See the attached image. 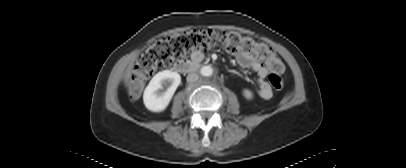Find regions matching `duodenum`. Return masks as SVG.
<instances>
[{
  "instance_id": "obj_1",
  "label": "duodenum",
  "mask_w": 406,
  "mask_h": 168,
  "mask_svg": "<svg viewBox=\"0 0 406 168\" xmlns=\"http://www.w3.org/2000/svg\"><path fill=\"white\" fill-rule=\"evenodd\" d=\"M200 61H190V60H179L174 63L173 69L180 73H189L201 66Z\"/></svg>"
}]
</instances>
